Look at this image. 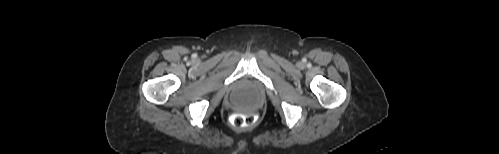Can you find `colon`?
<instances>
[{"label":"colon","mask_w":499,"mask_h":154,"mask_svg":"<svg viewBox=\"0 0 499 154\" xmlns=\"http://www.w3.org/2000/svg\"><path fill=\"white\" fill-rule=\"evenodd\" d=\"M254 116L251 114L236 112L231 116V123L236 128H244L252 124Z\"/></svg>","instance_id":"obj_1"}]
</instances>
